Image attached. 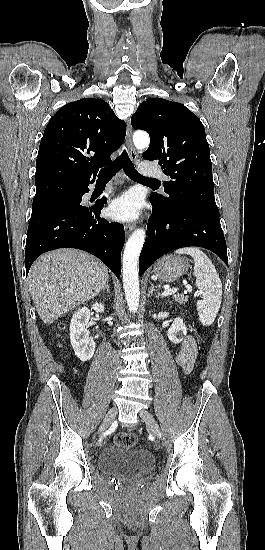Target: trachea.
Instances as JSON below:
<instances>
[{
  "instance_id": "trachea-1",
  "label": "trachea",
  "mask_w": 265,
  "mask_h": 550,
  "mask_svg": "<svg viewBox=\"0 0 265 550\" xmlns=\"http://www.w3.org/2000/svg\"><path fill=\"white\" fill-rule=\"evenodd\" d=\"M121 168H123L126 175L135 181L159 184L157 180L139 174L125 150L113 163L100 170L98 180H110Z\"/></svg>"
}]
</instances>
